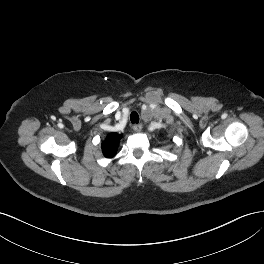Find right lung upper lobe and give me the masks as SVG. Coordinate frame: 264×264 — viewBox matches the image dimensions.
I'll list each match as a JSON object with an SVG mask.
<instances>
[{
  "mask_svg": "<svg viewBox=\"0 0 264 264\" xmlns=\"http://www.w3.org/2000/svg\"><path fill=\"white\" fill-rule=\"evenodd\" d=\"M122 135L110 133L102 142V152L107 158L115 156Z\"/></svg>",
  "mask_w": 264,
  "mask_h": 264,
  "instance_id": "obj_1",
  "label": "right lung upper lobe"
}]
</instances>
